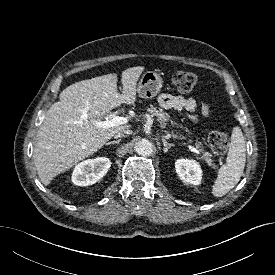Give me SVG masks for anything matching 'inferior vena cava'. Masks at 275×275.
<instances>
[{
	"label": "inferior vena cava",
	"mask_w": 275,
	"mask_h": 275,
	"mask_svg": "<svg viewBox=\"0 0 275 275\" xmlns=\"http://www.w3.org/2000/svg\"><path fill=\"white\" fill-rule=\"evenodd\" d=\"M130 134H132V131H131V130L123 129V130L119 131V132L114 136V138L125 137L126 135H130Z\"/></svg>",
	"instance_id": "602c4592"
}]
</instances>
